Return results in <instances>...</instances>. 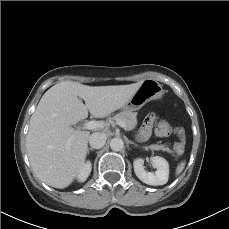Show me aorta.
<instances>
[{"mask_svg":"<svg viewBox=\"0 0 229 229\" xmlns=\"http://www.w3.org/2000/svg\"><path fill=\"white\" fill-rule=\"evenodd\" d=\"M110 147L113 151H121L124 148V142L121 138H113L110 141Z\"/></svg>","mask_w":229,"mask_h":229,"instance_id":"obj_1","label":"aorta"}]
</instances>
